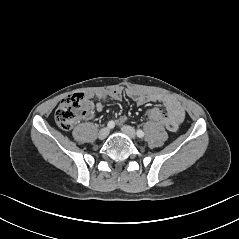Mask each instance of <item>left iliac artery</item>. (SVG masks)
<instances>
[{
    "label": "left iliac artery",
    "mask_w": 239,
    "mask_h": 239,
    "mask_svg": "<svg viewBox=\"0 0 239 239\" xmlns=\"http://www.w3.org/2000/svg\"><path fill=\"white\" fill-rule=\"evenodd\" d=\"M137 136L139 137V138H142V137H144V132L142 131V130H137Z\"/></svg>",
    "instance_id": "1"
}]
</instances>
